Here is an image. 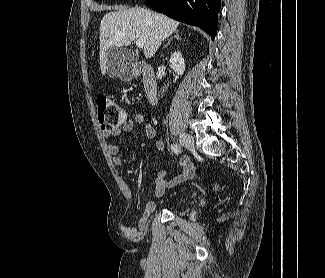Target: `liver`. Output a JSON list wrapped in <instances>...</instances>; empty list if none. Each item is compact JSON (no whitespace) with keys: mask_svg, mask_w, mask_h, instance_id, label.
<instances>
[{"mask_svg":"<svg viewBox=\"0 0 325 278\" xmlns=\"http://www.w3.org/2000/svg\"><path fill=\"white\" fill-rule=\"evenodd\" d=\"M104 15L100 24V68L107 71L110 48L129 46L135 39L144 40L145 58H151L162 41L176 31L179 22L146 8H115Z\"/></svg>","mask_w":325,"mask_h":278,"instance_id":"obj_1","label":"liver"}]
</instances>
